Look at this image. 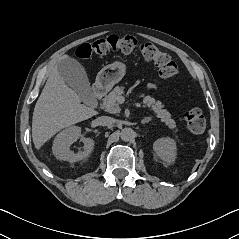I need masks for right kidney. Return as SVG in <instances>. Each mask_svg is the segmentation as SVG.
<instances>
[{
    "mask_svg": "<svg viewBox=\"0 0 239 239\" xmlns=\"http://www.w3.org/2000/svg\"><path fill=\"white\" fill-rule=\"evenodd\" d=\"M81 137V128L71 126L61 131L54 139L52 151L54 156L63 161L71 163L80 161L89 156L94 148V140L91 138H82L84 143L83 150L74 153L70 150V145L76 142Z\"/></svg>",
    "mask_w": 239,
    "mask_h": 239,
    "instance_id": "obj_1",
    "label": "right kidney"
}]
</instances>
